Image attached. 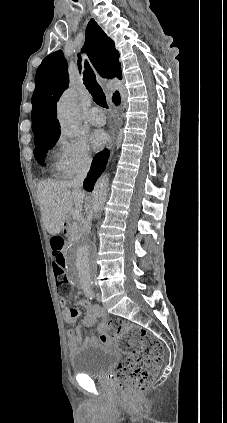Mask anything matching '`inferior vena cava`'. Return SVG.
Returning <instances> with one entry per match:
<instances>
[{"instance_id":"inferior-vena-cava-1","label":"inferior vena cava","mask_w":227,"mask_h":423,"mask_svg":"<svg viewBox=\"0 0 227 423\" xmlns=\"http://www.w3.org/2000/svg\"><path fill=\"white\" fill-rule=\"evenodd\" d=\"M92 158H90L89 154L88 156H85L84 160H82L81 164H79L77 170H76V176L72 182H70L72 188L74 190H81L83 186V182L90 170Z\"/></svg>"}]
</instances>
